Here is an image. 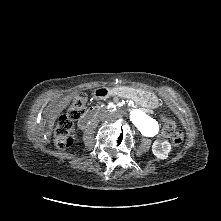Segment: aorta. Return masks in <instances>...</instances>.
<instances>
[{
	"mask_svg": "<svg viewBox=\"0 0 221 221\" xmlns=\"http://www.w3.org/2000/svg\"><path fill=\"white\" fill-rule=\"evenodd\" d=\"M129 117L133 124L146 136H154L158 132V124L138 109H129Z\"/></svg>",
	"mask_w": 221,
	"mask_h": 221,
	"instance_id": "762f6f07",
	"label": "aorta"
}]
</instances>
